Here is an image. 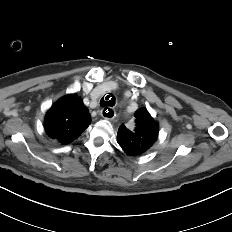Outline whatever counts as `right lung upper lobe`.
Masks as SVG:
<instances>
[{"instance_id": "cb5924a9", "label": "right lung upper lobe", "mask_w": 232, "mask_h": 232, "mask_svg": "<svg viewBox=\"0 0 232 232\" xmlns=\"http://www.w3.org/2000/svg\"><path fill=\"white\" fill-rule=\"evenodd\" d=\"M91 122L87 108L76 94H69L48 110L44 119L47 135L65 145L77 139Z\"/></svg>"}]
</instances>
